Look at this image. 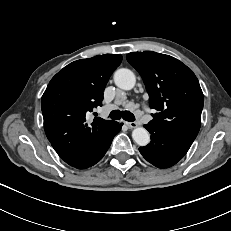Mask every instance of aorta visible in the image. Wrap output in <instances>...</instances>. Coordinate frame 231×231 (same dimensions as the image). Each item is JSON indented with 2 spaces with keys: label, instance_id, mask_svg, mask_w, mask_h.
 <instances>
[{
  "label": "aorta",
  "instance_id": "762f6f07",
  "mask_svg": "<svg viewBox=\"0 0 231 231\" xmlns=\"http://www.w3.org/2000/svg\"><path fill=\"white\" fill-rule=\"evenodd\" d=\"M114 82L120 89L131 90L135 86L136 77L131 70L121 68L114 73ZM132 138L139 146H146L150 142V134L143 127H136L132 131Z\"/></svg>",
  "mask_w": 231,
  "mask_h": 231
}]
</instances>
